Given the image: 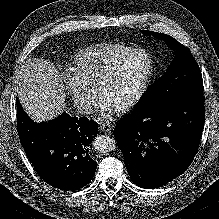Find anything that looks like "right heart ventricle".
I'll return each mask as SVG.
<instances>
[{
    "label": "right heart ventricle",
    "instance_id": "1",
    "mask_svg": "<svg viewBox=\"0 0 219 219\" xmlns=\"http://www.w3.org/2000/svg\"><path fill=\"white\" fill-rule=\"evenodd\" d=\"M132 49L133 47L122 43L87 47L75 55L73 70L83 82L95 89L101 76L110 65Z\"/></svg>",
    "mask_w": 219,
    "mask_h": 219
}]
</instances>
